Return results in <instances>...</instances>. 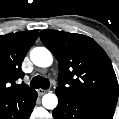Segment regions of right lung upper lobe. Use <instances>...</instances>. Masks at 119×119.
I'll list each match as a JSON object with an SVG mask.
<instances>
[{"instance_id": "right-lung-upper-lobe-1", "label": "right lung upper lobe", "mask_w": 119, "mask_h": 119, "mask_svg": "<svg viewBox=\"0 0 119 119\" xmlns=\"http://www.w3.org/2000/svg\"><path fill=\"white\" fill-rule=\"evenodd\" d=\"M37 37L36 30L0 35V104L34 91L25 83L16 84V80L25 75L21 64Z\"/></svg>"}]
</instances>
